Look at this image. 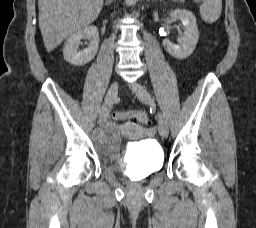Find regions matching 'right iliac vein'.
Instances as JSON below:
<instances>
[{
    "instance_id": "right-iliac-vein-1",
    "label": "right iliac vein",
    "mask_w": 256,
    "mask_h": 228,
    "mask_svg": "<svg viewBox=\"0 0 256 228\" xmlns=\"http://www.w3.org/2000/svg\"><path fill=\"white\" fill-rule=\"evenodd\" d=\"M118 87H119V83L118 81H115L108 89L106 97H105V102H104V107L103 110L99 116L98 119V124L100 126H104V124L106 123L107 119H108V115L110 112V109L113 105V103L115 102L117 95H118Z\"/></svg>"
}]
</instances>
